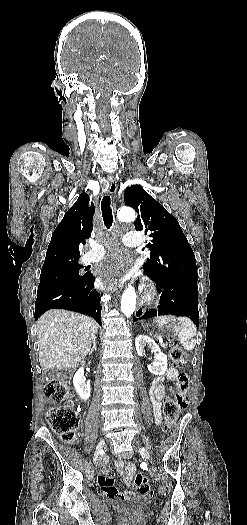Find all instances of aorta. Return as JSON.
Wrapping results in <instances>:
<instances>
[{
    "mask_svg": "<svg viewBox=\"0 0 247 525\" xmlns=\"http://www.w3.org/2000/svg\"><path fill=\"white\" fill-rule=\"evenodd\" d=\"M117 219L121 222H132L136 219V213L132 208L123 207L117 211ZM136 292L134 287L129 286L122 295L121 311L129 317L135 310Z\"/></svg>",
    "mask_w": 247,
    "mask_h": 525,
    "instance_id": "762f6f07",
    "label": "aorta"
}]
</instances>
